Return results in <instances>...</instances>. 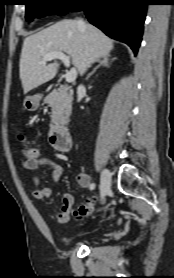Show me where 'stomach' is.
Segmentation results:
<instances>
[{"label":"stomach","instance_id":"0dacf381","mask_svg":"<svg viewBox=\"0 0 174 278\" xmlns=\"http://www.w3.org/2000/svg\"><path fill=\"white\" fill-rule=\"evenodd\" d=\"M40 97L38 95L27 96L24 101V107L33 111L39 106Z\"/></svg>","mask_w":174,"mask_h":278}]
</instances>
